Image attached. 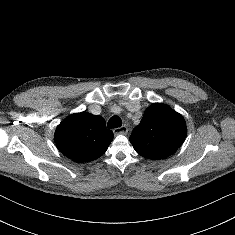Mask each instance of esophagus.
<instances>
[{
  "instance_id": "esophagus-1",
  "label": "esophagus",
  "mask_w": 235,
  "mask_h": 235,
  "mask_svg": "<svg viewBox=\"0 0 235 235\" xmlns=\"http://www.w3.org/2000/svg\"><path fill=\"white\" fill-rule=\"evenodd\" d=\"M113 133H114L115 135H119V134L126 135V134L128 133V127H127L126 125H123V126H121V127H119V128H115V129L113 130Z\"/></svg>"
}]
</instances>
